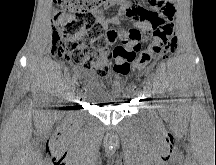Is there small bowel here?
I'll return each mask as SVG.
<instances>
[{
    "instance_id": "obj_1",
    "label": "small bowel",
    "mask_w": 216,
    "mask_h": 165,
    "mask_svg": "<svg viewBox=\"0 0 216 165\" xmlns=\"http://www.w3.org/2000/svg\"><path fill=\"white\" fill-rule=\"evenodd\" d=\"M174 1L175 0H147L148 5H138V2H131L130 0H112L110 5L99 11L97 14V19L105 30L108 45L114 44L118 39L117 31L109 28L110 24L117 23L121 19L129 17L134 26L133 28L143 32L148 31L150 29V21L133 17L131 16V13H150L157 10H175V5H173ZM114 6H119V13L115 16L107 17L105 14L106 10ZM129 70L130 69H127L124 72L117 73L121 76H126L129 73ZM89 83L94 93L97 92V82L90 78Z\"/></svg>"
}]
</instances>
